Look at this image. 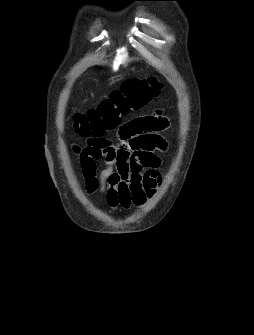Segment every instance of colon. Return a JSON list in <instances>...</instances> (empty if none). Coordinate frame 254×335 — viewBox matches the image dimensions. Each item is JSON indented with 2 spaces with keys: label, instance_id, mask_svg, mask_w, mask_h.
Here are the masks:
<instances>
[{
  "label": "colon",
  "instance_id": "1",
  "mask_svg": "<svg viewBox=\"0 0 254 335\" xmlns=\"http://www.w3.org/2000/svg\"><path fill=\"white\" fill-rule=\"evenodd\" d=\"M161 90L162 85L155 77L129 80L121 89L113 91L96 109L76 113V132L88 141L89 147L105 146L107 142L103 136L116 130L124 117L142 110Z\"/></svg>",
  "mask_w": 254,
  "mask_h": 335
}]
</instances>
